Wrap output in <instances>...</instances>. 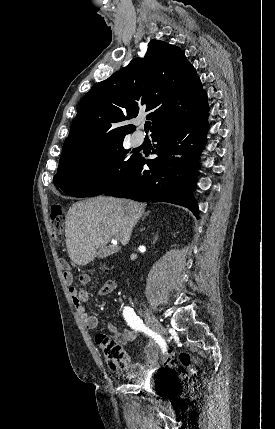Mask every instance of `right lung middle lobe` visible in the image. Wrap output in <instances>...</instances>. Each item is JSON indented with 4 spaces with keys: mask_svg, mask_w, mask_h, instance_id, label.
Segmentation results:
<instances>
[{
    "mask_svg": "<svg viewBox=\"0 0 275 429\" xmlns=\"http://www.w3.org/2000/svg\"><path fill=\"white\" fill-rule=\"evenodd\" d=\"M123 140L88 152L58 167L53 182L66 194L92 197L103 194L119 184L134 168L139 155L130 158Z\"/></svg>",
    "mask_w": 275,
    "mask_h": 429,
    "instance_id": "1",
    "label": "right lung middle lobe"
}]
</instances>
